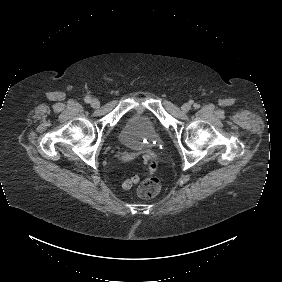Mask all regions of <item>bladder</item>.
<instances>
[{
    "label": "bladder",
    "mask_w": 282,
    "mask_h": 282,
    "mask_svg": "<svg viewBox=\"0 0 282 282\" xmlns=\"http://www.w3.org/2000/svg\"><path fill=\"white\" fill-rule=\"evenodd\" d=\"M119 141L129 150L147 151L161 144V136L155 122L147 113L135 112L123 123Z\"/></svg>",
    "instance_id": "bladder-1"
}]
</instances>
